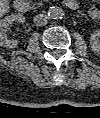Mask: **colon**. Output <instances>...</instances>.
I'll list each match as a JSON object with an SVG mask.
<instances>
[{
    "mask_svg": "<svg viewBox=\"0 0 100 118\" xmlns=\"http://www.w3.org/2000/svg\"><path fill=\"white\" fill-rule=\"evenodd\" d=\"M90 14L93 18H97L99 16V11L97 9H92Z\"/></svg>",
    "mask_w": 100,
    "mask_h": 118,
    "instance_id": "1",
    "label": "colon"
}]
</instances>
